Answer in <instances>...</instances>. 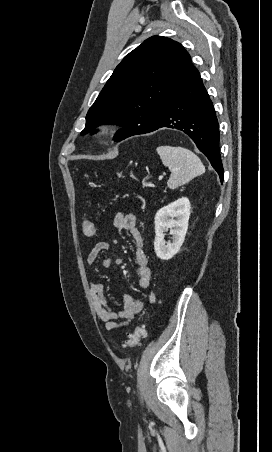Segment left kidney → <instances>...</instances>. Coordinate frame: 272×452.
Wrapping results in <instances>:
<instances>
[{
    "instance_id": "left-kidney-1",
    "label": "left kidney",
    "mask_w": 272,
    "mask_h": 452,
    "mask_svg": "<svg viewBox=\"0 0 272 452\" xmlns=\"http://www.w3.org/2000/svg\"><path fill=\"white\" fill-rule=\"evenodd\" d=\"M190 209L189 199L182 197L156 213L154 250L161 260L171 259L180 250L188 229ZM168 229L173 238L172 242L166 243L164 238Z\"/></svg>"
}]
</instances>
